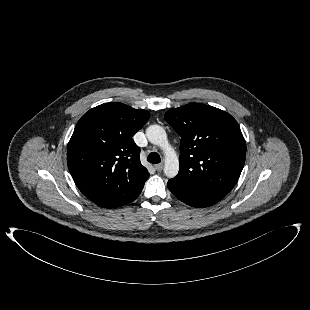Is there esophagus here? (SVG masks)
I'll return each mask as SVG.
<instances>
[{"label":"esophagus","instance_id":"1","mask_svg":"<svg viewBox=\"0 0 310 310\" xmlns=\"http://www.w3.org/2000/svg\"><path fill=\"white\" fill-rule=\"evenodd\" d=\"M155 169H156L158 172L162 171V169H163V164H162V163L156 164V165H155Z\"/></svg>","mask_w":310,"mask_h":310}]
</instances>
